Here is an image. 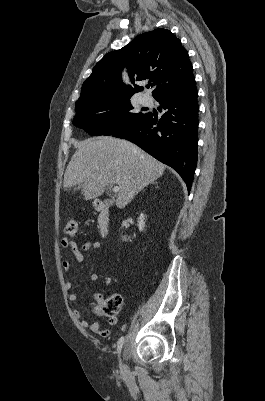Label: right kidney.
I'll return each instance as SVG.
<instances>
[{"instance_id":"1","label":"right kidney","mask_w":265,"mask_h":401,"mask_svg":"<svg viewBox=\"0 0 265 401\" xmlns=\"http://www.w3.org/2000/svg\"><path fill=\"white\" fill-rule=\"evenodd\" d=\"M138 229L139 231H144L145 229V215L143 213L138 217Z\"/></svg>"}]
</instances>
